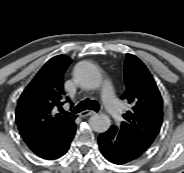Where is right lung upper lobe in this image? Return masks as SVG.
I'll return each instance as SVG.
<instances>
[{
    "label": "right lung upper lobe",
    "instance_id": "1",
    "mask_svg": "<svg viewBox=\"0 0 184 173\" xmlns=\"http://www.w3.org/2000/svg\"><path fill=\"white\" fill-rule=\"evenodd\" d=\"M72 62L64 55L50 59L21 94L16 122L29 147L35 146L75 124V116L63 111L70 101L64 92V74Z\"/></svg>",
    "mask_w": 184,
    "mask_h": 173
}]
</instances>
